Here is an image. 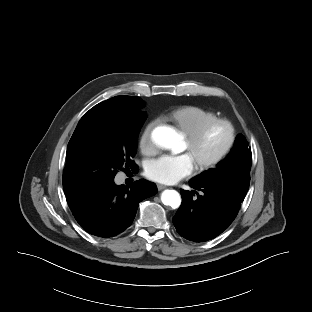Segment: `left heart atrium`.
<instances>
[{
	"label": "left heart atrium",
	"instance_id": "1",
	"mask_svg": "<svg viewBox=\"0 0 312 312\" xmlns=\"http://www.w3.org/2000/svg\"><path fill=\"white\" fill-rule=\"evenodd\" d=\"M193 169L194 164L187 154L164 155L148 164L145 175L158 183L173 184L189 176Z\"/></svg>",
	"mask_w": 312,
	"mask_h": 312
}]
</instances>
